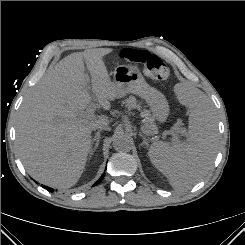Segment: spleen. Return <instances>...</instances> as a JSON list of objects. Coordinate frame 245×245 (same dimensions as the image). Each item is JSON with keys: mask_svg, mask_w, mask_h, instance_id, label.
Wrapping results in <instances>:
<instances>
[{"mask_svg": "<svg viewBox=\"0 0 245 245\" xmlns=\"http://www.w3.org/2000/svg\"><path fill=\"white\" fill-rule=\"evenodd\" d=\"M180 98L190 111L187 140L174 145L155 142L148 154L174 189L185 190L210 170L217 151L218 128L211 101L202 91L184 85Z\"/></svg>", "mask_w": 245, "mask_h": 245, "instance_id": "spleen-1", "label": "spleen"}]
</instances>
